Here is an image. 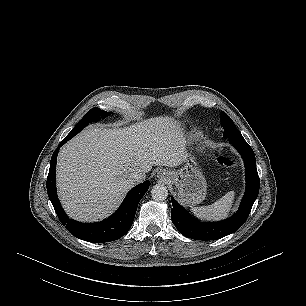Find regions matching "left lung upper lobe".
<instances>
[{
  "label": "left lung upper lobe",
  "instance_id": "1",
  "mask_svg": "<svg viewBox=\"0 0 306 306\" xmlns=\"http://www.w3.org/2000/svg\"><path fill=\"white\" fill-rule=\"evenodd\" d=\"M221 122L224 128L223 135L230 139L237 138V139H244L239 130L236 128L232 119L225 113H221Z\"/></svg>",
  "mask_w": 306,
  "mask_h": 306
}]
</instances>
